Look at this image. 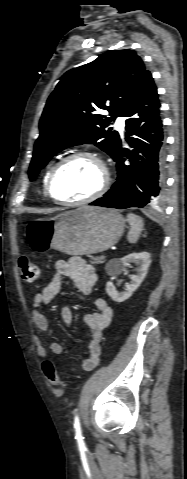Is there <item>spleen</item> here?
I'll return each mask as SVG.
<instances>
[{
	"mask_svg": "<svg viewBox=\"0 0 187 479\" xmlns=\"http://www.w3.org/2000/svg\"><path fill=\"white\" fill-rule=\"evenodd\" d=\"M127 221L130 224L127 239L130 243H136L143 230L144 221L140 216L133 213L127 214Z\"/></svg>",
	"mask_w": 187,
	"mask_h": 479,
	"instance_id": "3e777b00",
	"label": "spleen"
}]
</instances>
